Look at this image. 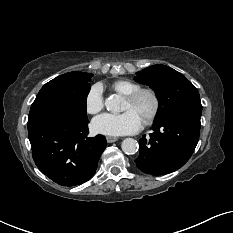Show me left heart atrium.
<instances>
[{
  "mask_svg": "<svg viewBox=\"0 0 233 233\" xmlns=\"http://www.w3.org/2000/svg\"><path fill=\"white\" fill-rule=\"evenodd\" d=\"M142 122L133 110H127L121 114L104 113L93 119L92 129L98 134L121 136L137 132Z\"/></svg>",
  "mask_w": 233,
  "mask_h": 233,
  "instance_id": "obj_1",
  "label": "left heart atrium"
}]
</instances>
